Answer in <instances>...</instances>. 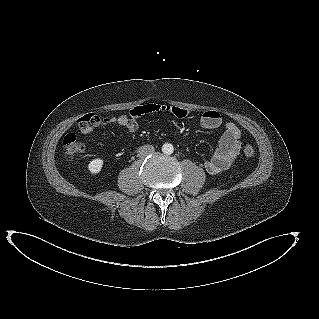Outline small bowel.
Masks as SVG:
<instances>
[{"mask_svg":"<svg viewBox=\"0 0 319 319\" xmlns=\"http://www.w3.org/2000/svg\"><path fill=\"white\" fill-rule=\"evenodd\" d=\"M167 112L177 118H186L189 111L179 106H163L147 103L133 107L127 114L110 117H99L94 114L91 122L78 125L84 135L93 133L97 128L105 125L123 127L133 133L138 129V119L144 115ZM223 124L221 115L216 111H207L200 118V125L207 130L218 129ZM241 131L232 122L225 123V130L218 148L213 156L205 162V169L211 174H219L228 170L235 162L241 148Z\"/></svg>","mask_w":319,"mask_h":319,"instance_id":"obj_1","label":"small bowel"}]
</instances>
